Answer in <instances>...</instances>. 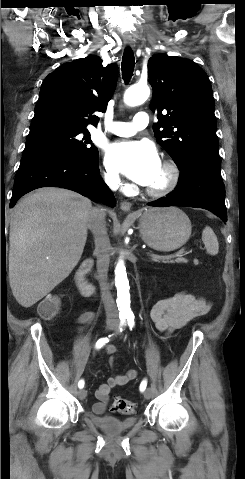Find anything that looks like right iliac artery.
<instances>
[{"instance_id":"right-iliac-artery-1","label":"right iliac artery","mask_w":245,"mask_h":479,"mask_svg":"<svg viewBox=\"0 0 245 479\" xmlns=\"http://www.w3.org/2000/svg\"><path fill=\"white\" fill-rule=\"evenodd\" d=\"M126 319L127 317L125 316H121L120 317V326H119V331L121 332L123 330V327L126 325ZM112 335H109V338L111 337ZM109 338L108 337H105V338H101L99 339L97 342H96V348L97 349H100L102 346H104L106 343L109 342ZM78 387L79 388H83L84 387V380H80L78 382Z\"/></svg>"}]
</instances>
